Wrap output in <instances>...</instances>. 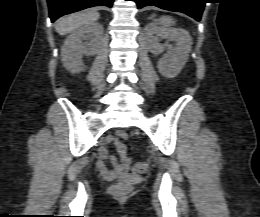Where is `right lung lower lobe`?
<instances>
[{
    "instance_id": "1",
    "label": "right lung lower lobe",
    "mask_w": 260,
    "mask_h": 217,
    "mask_svg": "<svg viewBox=\"0 0 260 217\" xmlns=\"http://www.w3.org/2000/svg\"><path fill=\"white\" fill-rule=\"evenodd\" d=\"M113 1L114 0H47L52 22L65 14L93 6L103 5L112 7Z\"/></svg>"
}]
</instances>
